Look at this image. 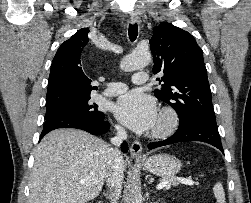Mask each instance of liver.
Returning a JSON list of instances; mask_svg holds the SVG:
<instances>
[{
	"instance_id": "1",
	"label": "liver",
	"mask_w": 251,
	"mask_h": 203,
	"mask_svg": "<svg viewBox=\"0 0 251 203\" xmlns=\"http://www.w3.org/2000/svg\"><path fill=\"white\" fill-rule=\"evenodd\" d=\"M109 145L87 132L58 129L35 149L29 203H87L96 198L111 167ZM123 171L126 162L123 160Z\"/></svg>"
}]
</instances>
